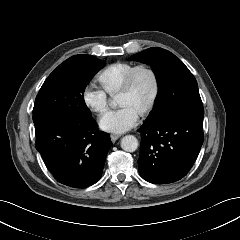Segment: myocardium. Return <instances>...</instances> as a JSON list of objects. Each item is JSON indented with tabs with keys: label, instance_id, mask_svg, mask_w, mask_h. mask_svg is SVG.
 Returning <instances> with one entry per match:
<instances>
[{
	"label": "myocardium",
	"instance_id": "1",
	"mask_svg": "<svg viewBox=\"0 0 240 240\" xmlns=\"http://www.w3.org/2000/svg\"><path fill=\"white\" fill-rule=\"evenodd\" d=\"M139 71L148 72L152 77L153 85H154L153 94H152V97H151L149 103L139 114L141 117H145L154 109V107L158 101V98L160 95V90H161L159 76H158L157 72L150 65L145 64V63H140V64L135 65L126 75L123 85L120 88L117 95L125 94L132 90L135 75Z\"/></svg>",
	"mask_w": 240,
	"mask_h": 240
}]
</instances>
